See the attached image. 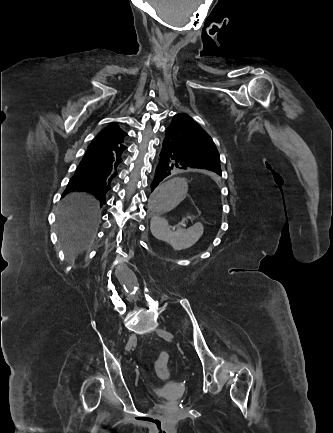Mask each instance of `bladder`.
<instances>
[{"mask_svg":"<svg viewBox=\"0 0 333 433\" xmlns=\"http://www.w3.org/2000/svg\"><path fill=\"white\" fill-rule=\"evenodd\" d=\"M167 400H169V401H174V400H176V397H175V396H168V397H167Z\"/></svg>","mask_w":333,"mask_h":433,"instance_id":"obj_1","label":"bladder"}]
</instances>
